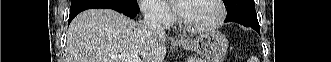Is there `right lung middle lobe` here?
Masks as SVG:
<instances>
[{"instance_id":"1","label":"right lung middle lobe","mask_w":331,"mask_h":62,"mask_svg":"<svg viewBox=\"0 0 331 62\" xmlns=\"http://www.w3.org/2000/svg\"><path fill=\"white\" fill-rule=\"evenodd\" d=\"M86 3H107L128 9L132 12H138L139 10L137 0H71V8Z\"/></svg>"}]
</instances>
